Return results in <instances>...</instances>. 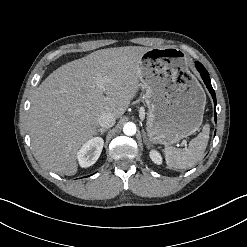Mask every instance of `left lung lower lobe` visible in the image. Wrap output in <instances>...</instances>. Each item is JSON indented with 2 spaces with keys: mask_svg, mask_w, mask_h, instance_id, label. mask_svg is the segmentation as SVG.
I'll use <instances>...</instances> for the list:
<instances>
[{
  "mask_svg": "<svg viewBox=\"0 0 247 247\" xmlns=\"http://www.w3.org/2000/svg\"><path fill=\"white\" fill-rule=\"evenodd\" d=\"M196 68L197 70L200 72L201 74V77L205 83V85L207 86L209 92L211 93L212 95V98L214 100V105L216 106V96H215V91L213 90L212 86H211V81H210V78H209V73L207 72V70L204 68V66L200 63V62H197L196 63ZM216 113H215V121H216Z\"/></svg>",
  "mask_w": 247,
  "mask_h": 247,
  "instance_id": "1",
  "label": "left lung lower lobe"
}]
</instances>
